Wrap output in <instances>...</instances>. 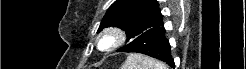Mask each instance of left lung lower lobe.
<instances>
[{
  "label": "left lung lower lobe",
  "mask_w": 246,
  "mask_h": 69,
  "mask_svg": "<svg viewBox=\"0 0 246 69\" xmlns=\"http://www.w3.org/2000/svg\"><path fill=\"white\" fill-rule=\"evenodd\" d=\"M163 24L151 28L135 38L117 52H137L157 58L174 67V61L170 51V44L165 37Z\"/></svg>",
  "instance_id": "1"
}]
</instances>
